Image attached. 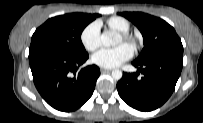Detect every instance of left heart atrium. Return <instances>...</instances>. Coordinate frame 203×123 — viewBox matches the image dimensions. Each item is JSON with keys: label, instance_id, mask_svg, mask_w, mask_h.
<instances>
[{"label": "left heart atrium", "instance_id": "left-heart-atrium-1", "mask_svg": "<svg viewBox=\"0 0 203 123\" xmlns=\"http://www.w3.org/2000/svg\"><path fill=\"white\" fill-rule=\"evenodd\" d=\"M133 56L132 48L127 44H120L114 48H102L92 56V62L100 67L109 69L126 62Z\"/></svg>", "mask_w": 203, "mask_h": 123}]
</instances>
